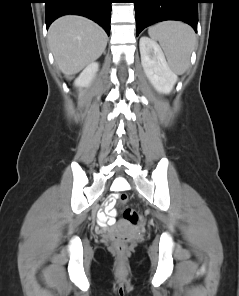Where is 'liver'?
<instances>
[{"mask_svg": "<svg viewBox=\"0 0 239 296\" xmlns=\"http://www.w3.org/2000/svg\"><path fill=\"white\" fill-rule=\"evenodd\" d=\"M48 42L60 71L71 76L102 55L107 34L90 19L68 15L51 24Z\"/></svg>", "mask_w": 239, "mask_h": 296, "instance_id": "1", "label": "liver"}]
</instances>
